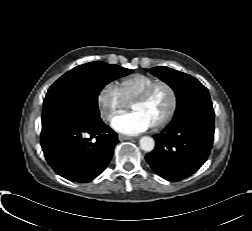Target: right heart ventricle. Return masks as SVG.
<instances>
[{"instance_id": "right-heart-ventricle-1", "label": "right heart ventricle", "mask_w": 252, "mask_h": 231, "mask_svg": "<svg viewBox=\"0 0 252 231\" xmlns=\"http://www.w3.org/2000/svg\"><path fill=\"white\" fill-rule=\"evenodd\" d=\"M156 81V78L149 75L134 74L123 78L118 89L126 103H130Z\"/></svg>"}]
</instances>
